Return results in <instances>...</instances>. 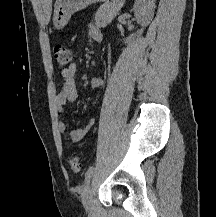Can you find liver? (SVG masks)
<instances>
[{
    "instance_id": "6515ba94",
    "label": "liver",
    "mask_w": 216,
    "mask_h": 217,
    "mask_svg": "<svg viewBox=\"0 0 216 217\" xmlns=\"http://www.w3.org/2000/svg\"><path fill=\"white\" fill-rule=\"evenodd\" d=\"M41 2L46 10L47 18L49 20L52 11V0H41Z\"/></svg>"
}]
</instances>
